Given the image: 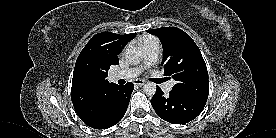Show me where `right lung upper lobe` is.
Instances as JSON below:
<instances>
[{
	"mask_svg": "<svg viewBox=\"0 0 276 138\" xmlns=\"http://www.w3.org/2000/svg\"><path fill=\"white\" fill-rule=\"evenodd\" d=\"M135 35L98 33L79 54L73 72L71 97L77 115L86 125H92L104 116L109 92L117 86L105 79L107 71L110 66L119 64L118 54Z\"/></svg>",
	"mask_w": 276,
	"mask_h": 138,
	"instance_id": "right-lung-upper-lobe-1",
	"label": "right lung upper lobe"
}]
</instances>
